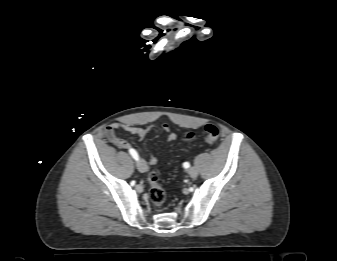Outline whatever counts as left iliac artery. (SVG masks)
I'll list each match as a JSON object with an SVG mask.
<instances>
[{"instance_id": "44dca946", "label": "left iliac artery", "mask_w": 337, "mask_h": 261, "mask_svg": "<svg viewBox=\"0 0 337 261\" xmlns=\"http://www.w3.org/2000/svg\"><path fill=\"white\" fill-rule=\"evenodd\" d=\"M183 167L186 168V169L189 168L190 167V163H188V162L183 163Z\"/></svg>"}]
</instances>
